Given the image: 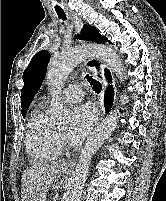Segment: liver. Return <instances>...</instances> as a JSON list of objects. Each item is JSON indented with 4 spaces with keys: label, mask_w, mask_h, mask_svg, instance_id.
Here are the masks:
<instances>
[{
    "label": "liver",
    "mask_w": 166,
    "mask_h": 201,
    "mask_svg": "<svg viewBox=\"0 0 166 201\" xmlns=\"http://www.w3.org/2000/svg\"><path fill=\"white\" fill-rule=\"evenodd\" d=\"M67 169V165L54 162H38L27 168L22 175V201H46L51 184L59 173Z\"/></svg>",
    "instance_id": "liver-1"
}]
</instances>
